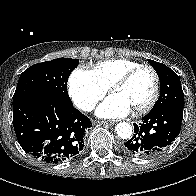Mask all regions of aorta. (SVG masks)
Listing matches in <instances>:
<instances>
[{"label":"aorta","instance_id":"aorta-1","mask_svg":"<svg viewBox=\"0 0 196 196\" xmlns=\"http://www.w3.org/2000/svg\"><path fill=\"white\" fill-rule=\"evenodd\" d=\"M117 135L122 139H128L132 135V126L127 122H121L116 125Z\"/></svg>","mask_w":196,"mask_h":196}]
</instances>
